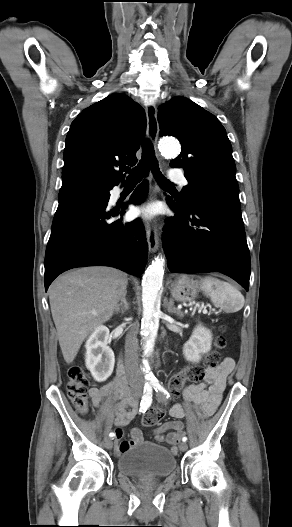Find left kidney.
Masks as SVG:
<instances>
[{"instance_id":"5707ae66","label":"left kidney","mask_w":292,"mask_h":527,"mask_svg":"<svg viewBox=\"0 0 292 527\" xmlns=\"http://www.w3.org/2000/svg\"><path fill=\"white\" fill-rule=\"evenodd\" d=\"M212 333L203 325L194 328L190 339L183 346V354L187 361L198 363L201 355L211 349Z\"/></svg>"}]
</instances>
